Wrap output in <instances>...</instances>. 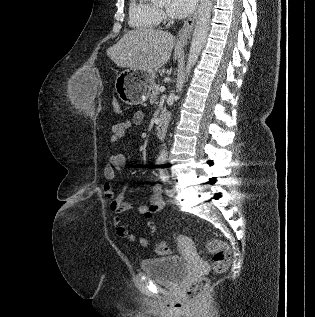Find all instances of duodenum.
Returning <instances> with one entry per match:
<instances>
[{
	"mask_svg": "<svg viewBox=\"0 0 315 317\" xmlns=\"http://www.w3.org/2000/svg\"><path fill=\"white\" fill-rule=\"evenodd\" d=\"M167 121V113L165 111H162L159 115L156 126V135L158 137H162L164 135L167 126Z\"/></svg>",
	"mask_w": 315,
	"mask_h": 317,
	"instance_id": "1",
	"label": "duodenum"
}]
</instances>
